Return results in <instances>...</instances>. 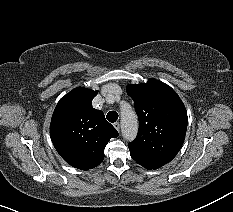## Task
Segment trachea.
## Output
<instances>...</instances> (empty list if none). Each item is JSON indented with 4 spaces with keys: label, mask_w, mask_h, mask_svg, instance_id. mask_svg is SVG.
I'll list each match as a JSON object with an SVG mask.
<instances>
[{
    "label": "trachea",
    "mask_w": 233,
    "mask_h": 212,
    "mask_svg": "<svg viewBox=\"0 0 233 212\" xmlns=\"http://www.w3.org/2000/svg\"><path fill=\"white\" fill-rule=\"evenodd\" d=\"M106 118L109 122L114 123L118 119V113L115 111H110L108 112Z\"/></svg>",
    "instance_id": "obj_1"
}]
</instances>
